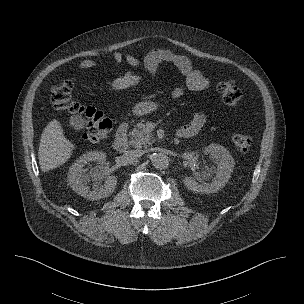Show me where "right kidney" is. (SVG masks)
Returning <instances> with one entry per match:
<instances>
[{
    "label": "right kidney",
    "instance_id": "right-kidney-1",
    "mask_svg": "<svg viewBox=\"0 0 304 304\" xmlns=\"http://www.w3.org/2000/svg\"><path fill=\"white\" fill-rule=\"evenodd\" d=\"M104 159L105 154L102 152H88L69 168L68 181L77 194L94 201L109 196L115 190L117 178L110 176L104 166H95L89 175L83 169L88 162H101Z\"/></svg>",
    "mask_w": 304,
    "mask_h": 304
}]
</instances>
